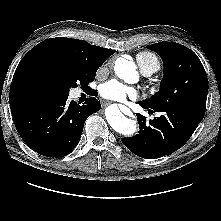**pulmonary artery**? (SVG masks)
<instances>
[{"label":"pulmonary artery","mask_w":221,"mask_h":221,"mask_svg":"<svg viewBox=\"0 0 221 221\" xmlns=\"http://www.w3.org/2000/svg\"><path fill=\"white\" fill-rule=\"evenodd\" d=\"M152 73H153L152 70H144V71H143V74L146 75V76H149V75H151Z\"/></svg>","instance_id":"obj_1"}]
</instances>
